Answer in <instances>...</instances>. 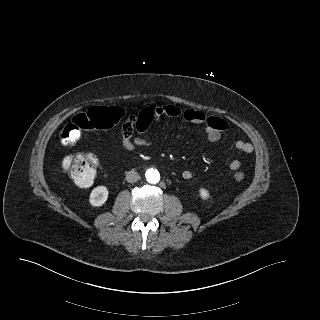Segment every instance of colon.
Instances as JSON below:
<instances>
[{
    "label": "colon",
    "instance_id": "colon-1",
    "mask_svg": "<svg viewBox=\"0 0 320 320\" xmlns=\"http://www.w3.org/2000/svg\"><path fill=\"white\" fill-rule=\"evenodd\" d=\"M124 111L116 106H94L86 112L73 118L59 134L61 142L72 144L78 141L83 131L108 129L116 125L122 118ZM148 119L139 117L135 120L137 127L147 126ZM63 167L75 183L82 187L89 186L97 172L98 162L95 156L89 153H75L66 156ZM237 181L244 178L242 172L234 175Z\"/></svg>",
    "mask_w": 320,
    "mask_h": 320
}]
</instances>
